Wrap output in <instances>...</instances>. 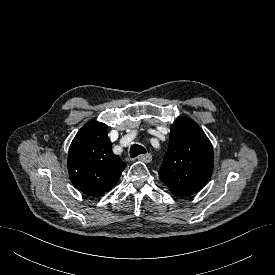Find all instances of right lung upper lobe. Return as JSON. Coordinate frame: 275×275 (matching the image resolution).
Segmentation results:
<instances>
[{
	"mask_svg": "<svg viewBox=\"0 0 275 275\" xmlns=\"http://www.w3.org/2000/svg\"><path fill=\"white\" fill-rule=\"evenodd\" d=\"M67 165L70 179L78 190L101 196L116 184L126 163L113 153L107 126L90 121L73 139Z\"/></svg>",
	"mask_w": 275,
	"mask_h": 275,
	"instance_id": "1",
	"label": "right lung upper lobe"
}]
</instances>
